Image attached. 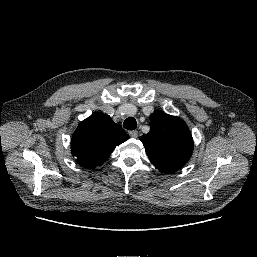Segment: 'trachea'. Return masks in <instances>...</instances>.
Segmentation results:
<instances>
[{
	"instance_id": "1",
	"label": "trachea",
	"mask_w": 257,
	"mask_h": 257,
	"mask_svg": "<svg viewBox=\"0 0 257 257\" xmlns=\"http://www.w3.org/2000/svg\"><path fill=\"white\" fill-rule=\"evenodd\" d=\"M123 127L127 130H134L137 127V121L134 118H127L123 123Z\"/></svg>"
}]
</instances>
